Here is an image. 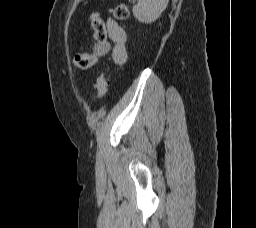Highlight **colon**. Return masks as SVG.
Here are the masks:
<instances>
[{
    "label": "colon",
    "mask_w": 256,
    "mask_h": 228,
    "mask_svg": "<svg viewBox=\"0 0 256 228\" xmlns=\"http://www.w3.org/2000/svg\"><path fill=\"white\" fill-rule=\"evenodd\" d=\"M129 15V8L125 3L118 4L113 10V17L116 20H124ZM90 23L93 28V36L95 41L103 43L106 39V27L101 16L97 12H93L90 16ZM98 53H84L75 56L73 62L75 66L86 69L98 61ZM109 89V80L106 73H103L97 79V95L96 98L104 97Z\"/></svg>",
    "instance_id": "5ec220e1"
}]
</instances>
